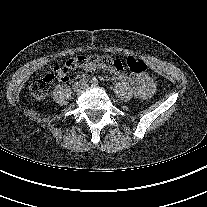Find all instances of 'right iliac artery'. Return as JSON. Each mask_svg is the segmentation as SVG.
Returning a JSON list of instances; mask_svg holds the SVG:
<instances>
[{"mask_svg":"<svg viewBox=\"0 0 207 207\" xmlns=\"http://www.w3.org/2000/svg\"><path fill=\"white\" fill-rule=\"evenodd\" d=\"M89 79H90V76L85 74V75L82 76L81 82L82 83H87L89 81Z\"/></svg>","mask_w":207,"mask_h":207,"instance_id":"82829eb1","label":"right iliac artery"}]
</instances>
